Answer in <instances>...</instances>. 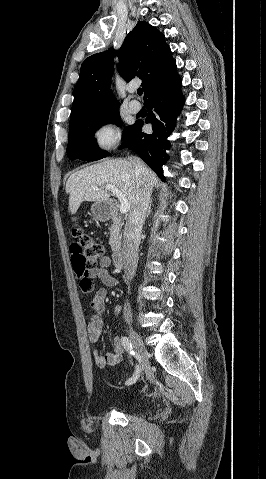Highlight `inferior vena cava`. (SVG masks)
Segmentation results:
<instances>
[{
    "mask_svg": "<svg viewBox=\"0 0 266 479\" xmlns=\"http://www.w3.org/2000/svg\"><path fill=\"white\" fill-rule=\"evenodd\" d=\"M130 160L134 166L137 181L135 200L124 228L122 243L125 282H129L133 279L137 269L140 235L149 207L152 190V183L147 168L138 158H130ZM124 317H131L129 303L124 305Z\"/></svg>",
    "mask_w": 266,
    "mask_h": 479,
    "instance_id": "1",
    "label": "inferior vena cava"
}]
</instances>
